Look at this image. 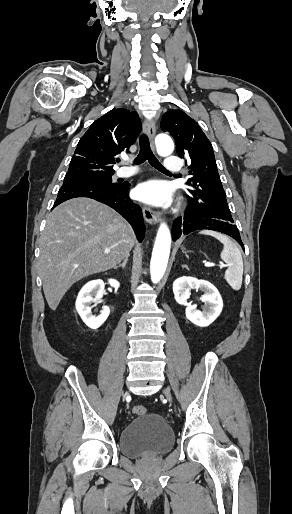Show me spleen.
Here are the masks:
<instances>
[{"label": "spleen", "mask_w": 292, "mask_h": 514, "mask_svg": "<svg viewBox=\"0 0 292 514\" xmlns=\"http://www.w3.org/2000/svg\"><path fill=\"white\" fill-rule=\"evenodd\" d=\"M199 234L213 236V238H216V240H219V242L223 244V250L220 254L221 260H223L225 264H228V268L225 272V280L233 290H240L243 278V260L236 244H233L227 236H223V234H219V232L203 230V232H199Z\"/></svg>", "instance_id": "3e777b00"}]
</instances>
